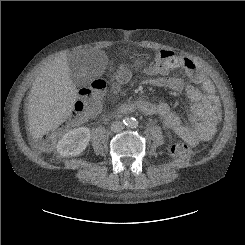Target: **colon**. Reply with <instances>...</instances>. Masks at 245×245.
Wrapping results in <instances>:
<instances>
[{"instance_id": "1", "label": "colon", "mask_w": 245, "mask_h": 245, "mask_svg": "<svg viewBox=\"0 0 245 245\" xmlns=\"http://www.w3.org/2000/svg\"><path fill=\"white\" fill-rule=\"evenodd\" d=\"M130 69L121 63L114 66L112 70L111 81L113 84L122 83L130 78ZM107 88V81L104 78H98L89 82L80 90L81 98L74 105V112L68 119L61 131L74 128L85 123L90 118L96 116L101 110V97ZM215 98H212L214 101ZM57 137V133L45 134L41 139L42 144H49ZM171 154L176 158H187L194 153L193 147L188 143H176L170 147Z\"/></svg>"}]
</instances>
